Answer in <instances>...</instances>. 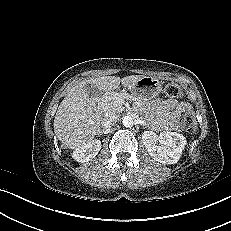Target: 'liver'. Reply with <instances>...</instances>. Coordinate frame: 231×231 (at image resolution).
<instances>
[{
    "instance_id": "1",
    "label": "liver",
    "mask_w": 231,
    "mask_h": 231,
    "mask_svg": "<svg viewBox=\"0 0 231 231\" xmlns=\"http://www.w3.org/2000/svg\"><path fill=\"white\" fill-rule=\"evenodd\" d=\"M142 77L102 76L84 79L75 85L60 103L54 118V133L62 145L67 149H76L93 140L100 130L101 115L85 91L86 84H94L100 92H110L117 89L120 83L130 87Z\"/></svg>"
}]
</instances>
